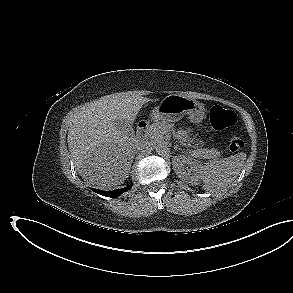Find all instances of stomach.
<instances>
[{"instance_id":"stomach-1","label":"stomach","mask_w":293,"mask_h":293,"mask_svg":"<svg viewBox=\"0 0 293 293\" xmlns=\"http://www.w3.org/2000/svg\"><path fill=\"white\" fill-rule=\"evenodd\" d=\"M204 105L182 95L166 96L150 113L153 122H176L188 115L192 123H199L205 118Z\"/></svg>"}]
</instances>
